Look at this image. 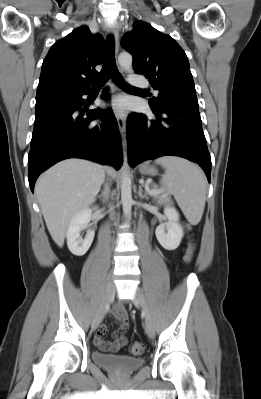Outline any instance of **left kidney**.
<instances>
[{
    "instance_id": "1",
    "label": "left kidney",
    "mask_w": 261,
    "mask_h": 399,
    "mask_svg": "<svg viewBox=\"0 0 261 399\" xmlns=\"http://www.w3.org/2000/svg\"><path fill=\"white\" fill-rule=\"evenodd\" d=\"M168 222L160 224L155 230V235L160 245L169 251L175 250L184 236L183 228L179 224V214L171 207L164 209Z\"/></svg>"
}]
</instances>
